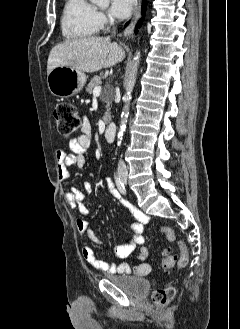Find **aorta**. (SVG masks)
<instances>
[{
  "mask_svg": "<svg viewBox=\"0 0 240 329\" xmlns=\"http://www.w3.org/2000/svg\"><path fill=\"white\" fill-rule=\"evenodd\" d=\"M92 3L97 4L101 7H108L110 0H90ZM139 60H140V52H136V55L134 57V63L133 67L131 69L129 79L126 85V94H125V100L126 104L123 108L122 114H121V123H120V129L119 133L117 136V146H121L122 140H123V135L125 132L128 116H129V102L131 99V92L133 90V87L136 82V76H137V70H138V65H139Z\"/></svg>",
  "mask_w": 240,
  "mask_h": 329,
  "instance_id": "762f6f07",
  "label": "aorta"
}]
</instances>
